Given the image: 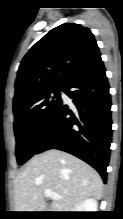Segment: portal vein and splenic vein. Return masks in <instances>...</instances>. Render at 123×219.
Wrapping results in <instances>:
<instances>
[{"mask_svg": "<svg viewBox=\"0 0 123 219\" xmlns=\"http://www.w3.org/2000/svg\"><path fill=\"white\" fill-rule=\"evenodd\" d=\"M44 194H45L46 197H49V198H52V199H61L62 198V196H60L59 194L54 193L50 189H46L44 191Z\"/></svg>", "mask_w": 123, "mask_h": 219, "instance_id": "18ae733b", "label": "portal vein and splenic vein"}]
</instances>
